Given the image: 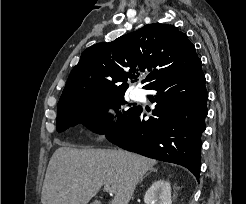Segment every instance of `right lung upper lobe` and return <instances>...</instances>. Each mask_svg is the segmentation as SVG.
Returning <instances> with one entry per match:
<instances>
[{"instance_id":"obj_1","label":"right lung upper lobe","mask_w":246,"mask_h":204,"mask_svg":"<svg viewBox=\"0 0 246 204\" xmlns=\"http://www.w3.org/2000/svg\"><path fill=\"white\" fill-rule=\"evenodd\" d=\"M198 59L195 46L176 27L149 24L112 42L98 43L84 50L59 102L87 95L125 93L126 82L145 69L150 71L142 81L147 89L165 75Z\"/></svg>"}]
</instances>
